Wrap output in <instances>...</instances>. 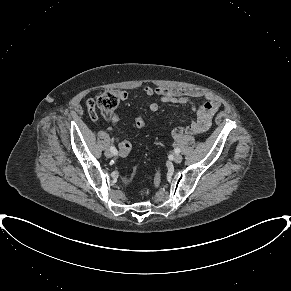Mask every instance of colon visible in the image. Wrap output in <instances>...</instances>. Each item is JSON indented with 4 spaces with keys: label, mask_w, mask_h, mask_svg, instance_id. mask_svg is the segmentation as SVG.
Instances as JSON below:
<instances>
[{
    "label": "colon",
    "mask_w": 291,
    "mask_h": 291,
    "mask_svg": "<svg viewBox=\"0 0 291 291\" xmlns=\"http://www.w3.org/2000/svg\"><path fill=\"white\" fill-rule=\"evenodd\" d=\"M119 100H120V95L118 92L107 90V91L102 92L98 96L97 105L103 112L112 111L117 107ZM134 126L137 128H140L144 126V121L141 118H138L135 120ZM131 148H132L131 143L128 140H123L119 146L120 157L126 158L129 155ZM154 181H155V184L159 183L160 181L159 174L155 176Z\"/></svg>",
    "instance_id": "obj_1"
}]
</instances>
